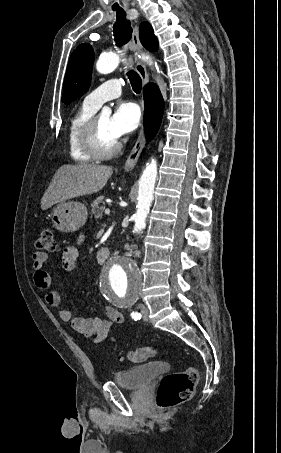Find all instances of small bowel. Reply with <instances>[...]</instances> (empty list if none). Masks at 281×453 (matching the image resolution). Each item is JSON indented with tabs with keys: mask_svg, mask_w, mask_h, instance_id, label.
Returning a JSON list of instances; mask_svg holds the SVG:
<instances>
[{
	"mask_svg": "<svg viewBox=\"0 0 281 453\" xmlns=\"http://www.w3.org/2000/svg\"><path fill=\"white\" fill-rule=\"evenodd\" d=\"M78 255V243L64 247L62 263L66 272L75 270ZM49 264L50 257L45 252H36L32 255V279L36 286L45 292L44 297L48 305L58 311L61 320L69 322L75 331L87 339L95 341L111 339L113 326L123 321L122 314L115 309H108L106 319L75 317L70 309L62 306L59 293L50 291L51 278L47 270Z\"/></svg>",
	"mask_w": 281,
	"mask_h": 453,
	"instance_id": "1",
	"label": "small bowel"
}]
</instances>
